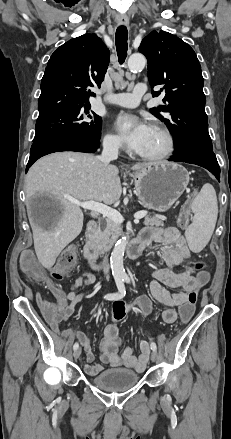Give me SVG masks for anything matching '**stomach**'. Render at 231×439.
Returning a JSON list of instances; mask_svg holds the SVG:
<instances>
[{
    "mask_svg": "<svg viewBox=\"0 0 231 439\" xmlns=\"http://www.w3.org/2000/svg\"><path fill=\"white\" fill-rule=\"evenodd\" d=\"M135 192L147 208L165 212L179 199L189 183V174L176 163L160 162L133 175Z\"/></svg>",
    "mask_w": 231,
    "mask_h": 439,
    "instance_id": "stomach-1",
    "label": "stomach"
}]
</instances>
